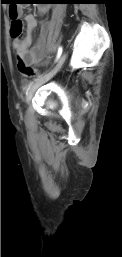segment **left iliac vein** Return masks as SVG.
I'll use <instances>...</instances> for the list:
<instances>
[{
    "label": "left iliac vein",
    "instance_id": "obj_1",
    "mask_svg": "<svg viewBox=\"0 0 122 257\" xmlns=\"http://www.w3.org/2000/svg\"><path fill=\"white\" fill-rule=\"evenodd\" d=\"M67 57V53H63L56 65L54 66V68L48 72L47 74H45L43 77H41L40 79H38L34 84H32L29 89L26 91L25 94V101L28 103L31 98L33 97L34 93L36 92V90L43 85L44 83H46L47 81H49L62 67V65L64 64L65 60Z\"/></svg>",
    "mask_w": 122,
    "mask_h": 257
}]
</instances>
